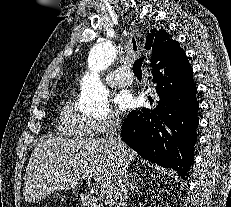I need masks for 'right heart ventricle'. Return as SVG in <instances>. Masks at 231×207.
<instances>
[{
  "instance_id": "1",
  "label": "right heart ventricle",
  "mask_w": 231,
  "mask_h": 207,
  "mask_svg": "<svg viewBox=\"0 0 231 207\" xmlns=\"http://www.w3.org/2000/svg\"><path fill=\"white\" fill-rule=\"evenodd\" d=\"M58 130L74 139L87 138L93 134L91 119L77 108L72 98L67 99L61 108Z\"/></svg>"
}]
</instances>
